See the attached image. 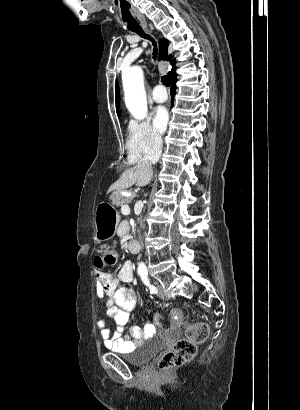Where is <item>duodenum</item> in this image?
<instances>
[{
  "instance_id": "duodenum-1",
  "label": "duodenum",
  "mask_w": 300,
  "mask_h": 410,
  "mask_svg": "<svg viewBox=\"0 0 300 410\" xmlns=\"http://www.w3.org/2000/svg\"><path fill=\"white\" fill-rule=\"evenodd\" d=\"M128 248L132 253H137L139 251V243L136 240H132L129 242Z\"/></svg>"
}]
</instances>
